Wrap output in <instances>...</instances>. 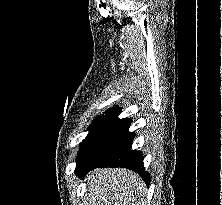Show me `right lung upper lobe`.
<instances>
[{
    "label": "right lung upper lobe",
    "mask_w": 222,
    "mask_h": 205,
    "mask_svg": "<svg viewBox=\"0 0 222 205\" xmlns=\"http://www.w3.org/2000/svg\"><path fill=\"white\" fill-rule=\"evenodd\" d=\"M112 110H114V108H112V109L108 110L106 113H109V112H111Z\"/></svg>",
    "instance_id": "obj_1"
}]
</instances>
